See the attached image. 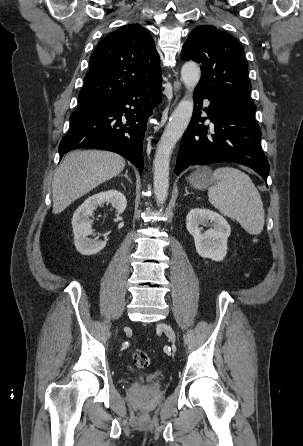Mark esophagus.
Segmentation results:
<instances>
[{"label":"esophagus","mask_w":303,"mask_h":446,"mask_svg":"<svg viewBox=\"0 0 303 446\" xmlns=\"http://www.w3.org/2000/svg\"><path fill=\"white\" fill-rule=\"evenodd\" d=\"M180 88H181V84H180V82H179V81H176V82L174 83V90H175V93H177V92L180 90Z\"/></svg>","instance_id":"34e87169"}]
</instances>
